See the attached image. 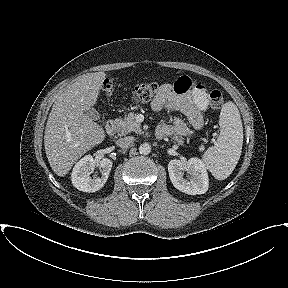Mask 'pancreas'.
Here are the masks:
<instances>
[{
    "label": "pancreas",
    "mask_w": 288,
    "mask_h": 288,
    "mask_svg": "<svg viewBox=\"0 0 288 288\" xmlns=\"http://www.w3.org/2000/svg\"><path fill=\"white\" fill-rule=\"evenodd\" d=\"M115 124L117 126L118 136H124L131 132H135L137 134L141 133V124L135 120V114L129 113L125 118H118L115 120ZM178 144L183 143V139L180 136H176L173 138Z\"/></svg>",
    "instance_id": "pancreas-1"
}]
</instances>
